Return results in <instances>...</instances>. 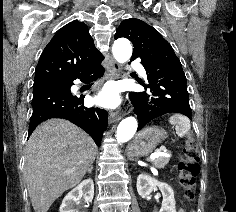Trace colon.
Listing matches in <instances>:
<instances>
[{
	"label": "colon",
	"instance_id": "1",
	"mask_svg": "<svg viewBox=\"0 0 236 212\" xmlns=\"http://www.w3.org/2000/svg\"><path fill=\"white\" fill-rule=\"evenodd\" d=\"M200 157L197 140L188 138L182 149L178 170L179 184L189 202H193L195 199L196 179L200 172Z\"/></svg>",
	"mask_w": 236,
	"mask_h": 212
}]
</instances>
